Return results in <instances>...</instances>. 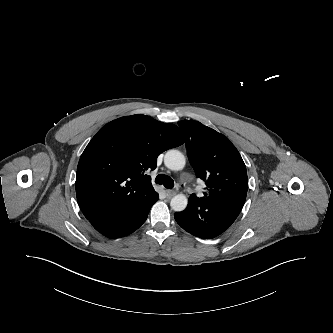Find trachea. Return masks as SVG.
Instances as JSON below:
<instances>
[{"label": "trachea", "instance_id": "1", "mask_svg": "<svg viewBox=\"0 0 333 333\" xmlns=\"http://www.w3.org/2000/svg\"><path fill=\"white\" fill-rule=\"evenodd\" d=\"M155 183L163 185L167 189H172L174 187V181L165 174H159L155 179Z\"/></svg>", "mask_w": 333, "mask_h": 333}]
</instances>
